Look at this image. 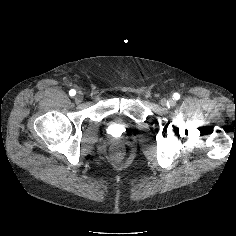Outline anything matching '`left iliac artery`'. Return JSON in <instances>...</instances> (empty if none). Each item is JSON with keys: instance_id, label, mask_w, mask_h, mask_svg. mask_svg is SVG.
I'll list each match as a JSON object with an SVG mask.
<instances>
[{"instance_id": "obj_1", "label": "left iliac artery", "mask_w": 236, "mask_h": 236, "mask_svg": "<svg viewBox=\"0 0 236 236\" xmlns=\"http://www.w3.org/2000/svg\"><path fill=\"white\" fill-rule=\"evenodd\" d=\"M173 98H174L175 100H178V99L180 98V95H179L178 93H174V94H173Z\"/></svg>"}]
</instances>
